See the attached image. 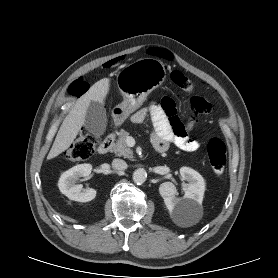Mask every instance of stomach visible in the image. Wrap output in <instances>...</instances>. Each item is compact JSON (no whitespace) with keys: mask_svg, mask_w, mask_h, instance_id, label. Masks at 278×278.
Segmentation results:
<instances>
[{"mask_svg":"<svg viewBox=\"0 0 278 278\" xmlns=\"http://www.w3.org/2000/svg\"><path fill=\"white\" fill-rule=\"evenodd\" d=\"M165 79V66L155 58H142L125 66L117 75L124 100L112 110L115 125H121Z\"/></svg>","mask_w":278,"mask_h":278,"instance_id":"1","label":"stomach"}]
</instances>
